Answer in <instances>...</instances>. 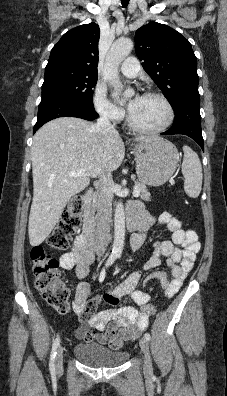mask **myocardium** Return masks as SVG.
<instances>
[{"mask_svg": "<svg viewBox=\"0 0 227 396\" xmlns=\"http://www.w3.org/2000/svg\"><path fill=\"white\" fill-rule=\"evenodd\" d=\"M143 96L156 97V98L160 99L166 108L167 118H166L165 122L158 127L144 128V127H141L138 124H136V122L134 121V119L129 111L128 115H127V122H128L129 127L132 130H134L138 133H142V134H158V133H161V132L165 131L166 129H168L171 126V124L173 123L174 117H175L174 108H173L171 102L169 101V99L164 94L157 92V91H152V90L145 92L143 94Z\"/></svg>", "mask_w": 227, "mask_h": 396, "instance_id": "myocardium-1", "label": "myocardium"}]
</instances>
